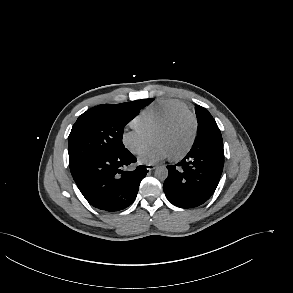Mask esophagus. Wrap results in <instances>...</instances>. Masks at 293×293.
<instances>
[{
  "instance_id": "34e87169",
  "label": "esophagus",
  "mask_w": 293,
  "mask_h": 293,
  "mask_svg": "<svg viewBox=\"0 0 293 293\" xmlns=\"http://www.w3.org/2000/svg\"><path fill=\"white\" fill-rule=\"evenodd\" d=\"M146 168H147V170L152 171V170H154L156 168V165H154V164H148L146 166Z\"/></svg>"
}]
</instances>
